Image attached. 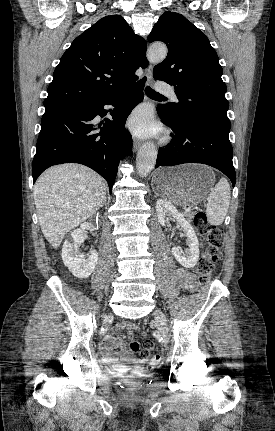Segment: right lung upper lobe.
<instances>
[{
  "instance_id": "obj_1",
  "label": "right lung upper lobe",
  "mask_w": 275,
  "mask_h": 431,
  "mask_svg": "<svg viewBox=\"0 0 275 431\" xmlns=\"http://www.w3.org/2000/svg\"><path fill=\"white\" fill-rule=\"evenodd\" d=\"M148 65L145 40L119 15L106 16L78 36L53 73L44 107L106 98L133 85Z\"/></svg>"
}]
</instances>
